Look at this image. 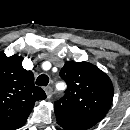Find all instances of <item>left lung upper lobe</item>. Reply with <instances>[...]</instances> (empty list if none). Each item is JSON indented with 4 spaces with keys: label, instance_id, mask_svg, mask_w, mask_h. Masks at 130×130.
<instances>
[{
    "label": "left lung upper lobe",
    "instance_id": "left-lung-upper-lobe-1",
    "mask_svg": "<svg viewBox=\"0 0 130 130\" xmlns=\"http://www.w3.org/2000/svg\"><path fill=\"white\" fill-rule=\"evenodd\" d=\"M67 83L65 95L55 102L74 113L100 121L108 112L113 100L110 78L88 62L68 61L60 71Z\"/></svg>",
    "mask_w": 130,
    "mask_h": 130
}]
</instances>
